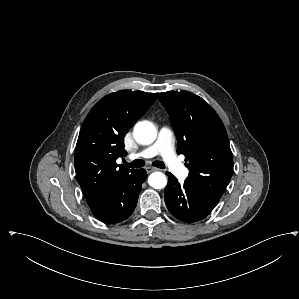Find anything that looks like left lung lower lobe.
<instances>
[{"label":"left lung lower lobe","instance_id":"left-lung-lower-lobe-1","mask_svg":"<svg viewBox=\"0 0 299 299\" xmlns=\"http://www.w3.org/2000/svg\"><path fill=\"white\" fill-rule=\"evenodd\" d=\"M168 184L165 188V202L170 213L180 221L193 223L205 218L218 204L215 196L186 181L180 185L167 172Z\"/></svg>","mask_w":299,"mask_h":299}]
</instances>
